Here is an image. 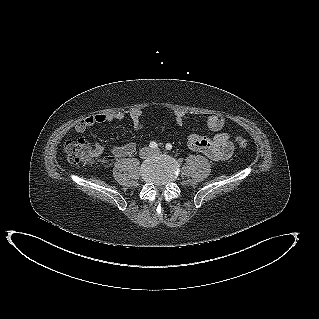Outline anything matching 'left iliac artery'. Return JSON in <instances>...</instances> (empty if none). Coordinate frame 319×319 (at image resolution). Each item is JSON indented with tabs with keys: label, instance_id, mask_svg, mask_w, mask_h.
Masks as SVG:
<instances>
[{
	"label": "left iliac artery",
	"instance_id": "1",
	"mask_svg": "<svg viewBox=\"0 0 319 319\" xmlns=\"http://www.w3.org/2000/svg\"><path fill=\"white\" fill-rule=\"evenodd\" d=\"M165 148H166V150H171L172 149V145L170 143H167Z\"/></svg>",
	"mask_w": 319,
	"mask_h": 319
}]
</instances>
